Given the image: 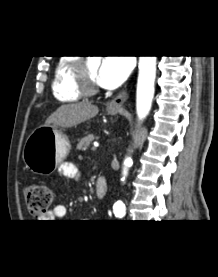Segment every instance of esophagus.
Segmentation results:
<instances>
[{
	"mask_svg": "<svg viewBox=\"0 0 218 277\" xmlns=\"http://www.w3.org/2000/svg\"><path fill=\"white\" fill-rule=\"evenodd\" d=\"M128 94L126 91L121 92L111 101L108 102L107 107L111 110H119L122 108L124 102L127 100Z\"/></svg>",
	"mask_w": 218,
	"mask_h": 277,
	"instance_id": "esophagus-1",
	"label": "esophagus"
}]
</instances>
